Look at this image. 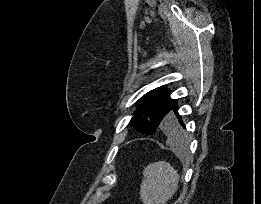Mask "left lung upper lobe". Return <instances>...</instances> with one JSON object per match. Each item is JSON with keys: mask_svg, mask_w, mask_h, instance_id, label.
<instances>
[{"mask_svg": "<svg viewBox=\"0 0 261 204\" xmlns=\"http://www.w3.org/2000/svg\"><path fill=\"white\" fill-rule=\"evenodd\" d=\"M170 91L156 88L145 94L130 121V125L141 133L153 134L157 128L162 129L169 119L175 100L170 98Z\"/></svg>", "mask_w": 261, "mask_h": 204, "instance_id": "1", "label": "left lung upper lobe"}]
</instances>
